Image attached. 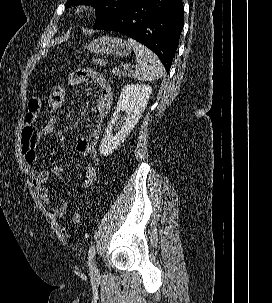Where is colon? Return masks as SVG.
I'll return each instance as SVG.
<instances>
[{
    "label": "colon",
    "instance_id": "colon-1",
    "mask_svg": "<svg viewBox=\"0 0 272 303\" xmlns=\"http://www.w3.org/2000/svg\"><path fill=\"white\" fill-rule=\"evenodd\" d=\"M94 64L100 68L104 69L108 67V62L106 59L102 57H97L93 60ZM111 73L114 77L120 78L122 76V70L119 67H112L111 68ZM64 102V89L61 85L57 84L55 85L48 98V117L45 120L43 127L47 129L54 130L56 127V122H57V113L62 107ZM84 219V216L81 213H74L72 215V220L75 223H81Z\"/></svg>",
    "mask_w": 272,
    "mask_h": 303
}]
</instances>
